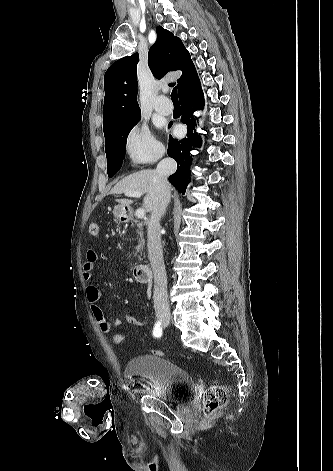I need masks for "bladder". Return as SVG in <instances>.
<instances>
[{
    "label": "bladder",
    "mask_w": 333,
    "mask_h": 471,
    "mask_svg": "<svg viewBox=\"0 0 333 471\" xmlns=\"http://www.w3.org/2000/svg\"><path fill=\"white\" fill-rule=\"evenodd\" d=\"M125 374L149 382L150 393L167 404H179L193 394L196 384L182 367L164 357L144 354L131 358Z\"/></svg>",
    "instance_id": "31cf9c89"
}]
</instances>
